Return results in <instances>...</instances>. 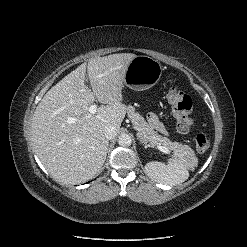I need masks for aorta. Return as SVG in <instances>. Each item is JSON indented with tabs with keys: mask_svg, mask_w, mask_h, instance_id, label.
I'll return each instance as SVG.
<instances>
[{
	"mask_svg": "<svg viewBox=\"0 0 247 247\" xmlns=\"http://www.w3.org/2000/svg\"><path fill=\"white\" fill-rule=\"evenodd\" d=\"M132 143V138L129 134H121L118 138V144L122 147H128Z\"/></svg>",
	"mask_w": 247,
	"mask_h": 247,
	"instance_id": "762f6f07",
	"label": "aorta"
}]
</instances>
